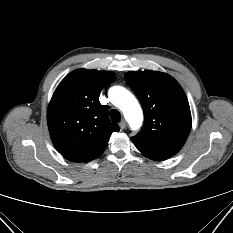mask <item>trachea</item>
<instances>
[{
	"mask_svg": "<svg viewBox=\"0 0 233 233\" xmlns=\"http://www.w3.org/2000/svg\"><path fill=\"white\" fill-rule=\"evenodd\" d=\"M110 118H111L112 122L117 123L121 120V114L118 110L112 109L110 111Z\"/></svg>",
	"mask_w": 233,
	"mask_h": 233,
	"instance_id": "trachea-1",
	"label": "trachea"
}]
</instances>
